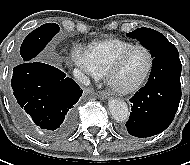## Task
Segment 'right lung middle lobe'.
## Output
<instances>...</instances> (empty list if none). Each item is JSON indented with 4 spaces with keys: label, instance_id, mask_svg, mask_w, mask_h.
<instances>
[{
    "label": "right lung middle lobe",
    "instance_id": "dd1d6c3e",
    "mask_svg": "<svg viewBox=\"0 0 190 165\" xmlns=\"http://www.w3.org/2000/svg\"><path fill=\"white\" fill-rule=\"evenodd\" d=\"M59 30L60 28L56 23H47L28 34L20 48V55L23 61H31L44 49L46 44L59 32Z\"/></svg>",
    "mask_w": 190,
    "mask_h": 165
}]
</instances>
